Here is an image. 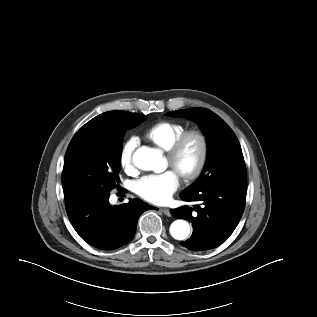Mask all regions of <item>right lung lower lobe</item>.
Returning <instances> with one entry per match:
<instances>
[{
	"mask_svg": "<svg viewBox=\"0 0 317 317\" xmlns=\"http://www.w3.org/2000/svg\"><path fill=\"white\" fill-rule=\"evenodd\" d=\"M108 198L85 206L66 204L68 218L80 237L103 250L127 244L135 234L139 216L155 208L136 198L128 204L112 206Z\"/></svg>",
	"mask_w": 317,
	"mask_h": 317,
	"instance_id": "right-lung-lower-lobe-1",
	"label": "right lung lower lobe"
}]
</instances>
